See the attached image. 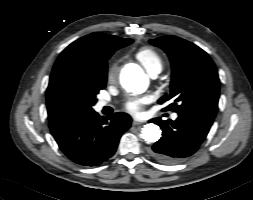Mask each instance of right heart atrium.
<instances>
[{"label": "right heart atrium", "mask_w": 253, "mask_h": 200, "mask_svg": "<svg viewBox=\"0 0 253 200\" xmlns=\"http://www.w3.org/2000/svg\"><path fill=\"white\" fill-rule=\"evenodd\" d=\"M113 74H114V68L113 67H110L109 70H108V78H112L113 77Z\"/></svg>", "instance_id": "right-heart-atrium-1"}]
</instances>
